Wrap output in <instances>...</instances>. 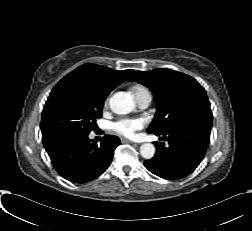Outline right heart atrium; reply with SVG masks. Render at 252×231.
<instances>
[{
    "instance_id": "obj_1",
    "label": "right heart atrium",
    "mask_w": 252,
    "mask_h": 231,
    "mask_svg": "<svg viewBox=\"0 0 252 231\" xmlns=\"http://www.w3.org/2000/svg\"><path fill=\"white\" fill-rule=\"evenodd\" d=\"M108 104V100L105 101V106Z\"/></svg>"
}]
</instances>
